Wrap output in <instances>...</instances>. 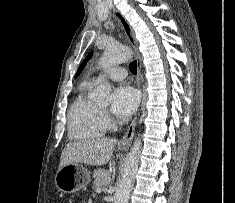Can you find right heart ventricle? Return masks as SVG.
<instances>
[{
    "label": "right heart ventricle",
    "instance_id": "e07e8e85",
    "mask_svg": "<svg viewBox=\"0 0 235 203\" xmlns=\"http://www.w3.org/2000/svg\"><path fill=\"white\" fill-rule=\"evenodd\" d=\"M90 86L86 83L79 89L68 112V133L74 140L99 138L106 131L100 108L87 95Z\"/></svg>",
    "mask_w": 235,
    "mask_h": 203
}]
</instances>
